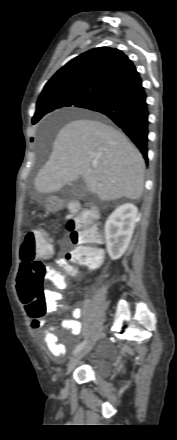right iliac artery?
<instances>
[{"mask_svg":"<svg viewBox=\"0 0 177 440\" xmlns=\"http://www.w3.org/2000/svg\"><path fill=\"white\" fill-rule=\"evenodd\" d=\"M86 342H87V340H84L79 345H77L76 348L73 351V354L78 353L85 346Z\"/></svg>","mask_w":177,"mask_h":440,"instance_id":"1","label":"right iliac artery"}]
</instances>
